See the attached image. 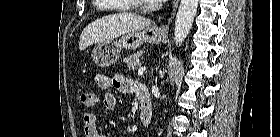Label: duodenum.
I'll list each match as a JSON object with an SVG mask.
<instances>
[{
    "instance_id": "duodenum-1",
    "label": "duodenum",
    "mask_w": 280,
    "mask_h": 137,
    "mask_svg": "<svg viewBox=\"0 0 280 137\" xmlns=\"http://www.w3.org/2000/svg\"><path fill=\"white\" fill-rule=\"evenodd\" d=\"M137 94L140 100L139 120L141 125L146 127L153 120V108L148 87L146 85H140L137 89Z\"/></svg>"
}]
</instances>
